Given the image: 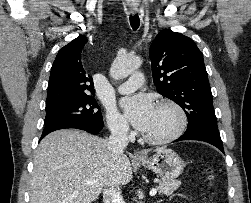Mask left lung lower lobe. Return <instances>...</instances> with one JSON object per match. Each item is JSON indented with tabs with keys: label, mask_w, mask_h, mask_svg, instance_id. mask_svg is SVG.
<instances>
[{
	"label": "left lung lower lobe",
	"mask_w": 251,
	"mask_h": 203,
	"mask_svg": "<svg viewBox=\"0 0 251 203\" xmlns=\"http://www.w3.org/2000/svg\"><path fill=\"white\" fill-rule=\"evenodd\" d=\"M182 140H198L204 141L217 147L224 153L222 140L219 131L209 130V129H198L192 132H185L181 137H179L174 142Z\"/></svg>",
	"instance_id": "left-lung-lower-lobe-1"
}]
</instances>
